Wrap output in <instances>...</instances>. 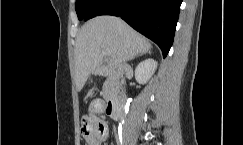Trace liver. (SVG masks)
Listing matches in <instances>:
<instances>
[{"instance_id": "liver-1", "label": "liver", "mask_w": 243, "mask_h": 145, "mask_svg": "<svg viewBox=\"0 0 243 145\" xmlns=\"http://www.w3.org/2000/svg\"><path fill=\"white\" fill-rule=\"evenodd\" d=\"M151 48L147 39L119 18L97 16L91 19L81 27L75 43L77 91H81L90 74L101 66L104 49L111 53V64L119 66Z\"/></svg>"}]
</instances>
